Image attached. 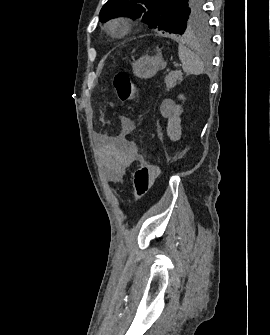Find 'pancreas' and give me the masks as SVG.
<instances>
[{
    "label": "pancreas",
    "instance_id": "cf45deb5",
    "mask_svg": "<svg viewBox=\"0 0 270 335\" xmlns=\"http://www.w3.org/2000/svg\"><path fill=\"white\" fill-rule=\"evenodd\" d=\"M182 78L183 76L181 72H170V74H168V76H166L164 80L168 92L169 90H172L174 86H176L177 80H180V82H182Z\"/></svg>",
    "mask_w": 270,
    "mask_h": 335
}]
</instances>
